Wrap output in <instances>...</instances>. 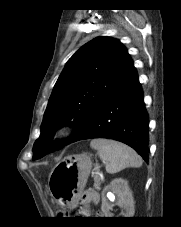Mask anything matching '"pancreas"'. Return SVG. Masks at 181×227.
Listing matches in <instances>:
<instances>
[{"mask_svg": "<svg viewBox=\"0 0 181 227\" xmlns=\"http://www.w3.org/2000/svg\"><path fill=\"white\" fill-rule=\"evenodd\" d=\"M100 185H101V183H100V178H99L98 175H95L93 187H94L96 190H100Z\"/></svg>", "mask_w": 181, "mask_h": 227, "instance_id": "pancreas-1", "label": "pancreas"}]
</instances>
